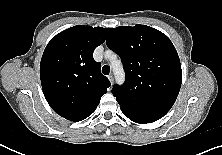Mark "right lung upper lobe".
Segmentation results:
<instances>
[{"instance_id": "cb5924a9", "label": "right lung upper lobe", "mask_w": 222, "mask_h": 155, "mask_svg": "<svg viewBox=\"0 0 222 155\" xmlns=\"http://www.w3.org/2000/svg\"><path fill=\"white\" fill-rule=\"evenodd\" d=\"M101 27L77 25L53 37L40 63V79L50 107L70 121H82L97 108L110 86L93 59L95 48L104 43Z\"/></svg>"}]
</instances>
